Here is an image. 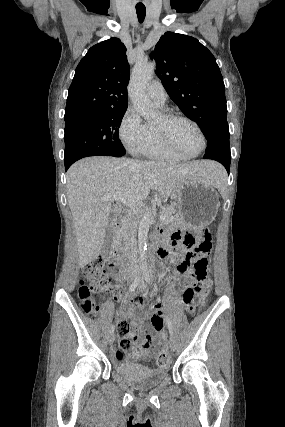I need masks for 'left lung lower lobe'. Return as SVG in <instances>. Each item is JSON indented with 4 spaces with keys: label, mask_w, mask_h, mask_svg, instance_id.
<instances>
[{
    "label": "left lung lower lobe",
    "mask_w": 285,
    "mask_h": 427,
    "mask_svg": "<svg viewBox=\"0 0 285 427\" xmlns=\"http://www.w3.org/2000/svg\"><path fill=\"white\" fill-rule=\"evenodd\" d=\"M206 139L208 144L203 158L220 162L229 172L231 162L229 131L212 133Z\"/></svg>",
    "instance_id": "obj_1"
}]
</instances>
